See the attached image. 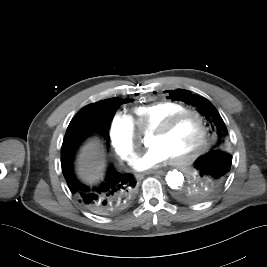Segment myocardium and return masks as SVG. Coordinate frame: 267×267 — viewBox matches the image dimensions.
<instances>
[{
    "label": "myocardium",
    "mask_w": 267,
    "mask_h": 267,
    "mask_svg": "<svg viewBox=\"0 0 267 267\" xmlns=\"http://www.w3.org/2000/svg\"><path fill=\"white\" fill-rule=\"evenodd\" d=\"M189 116L195 117L199 121L202 130L201 139L199 141V144L191 154L181 158L171 159L172 162L176 165L189 164L205 151L208 144V126L205 118L197 111L186 110L170 116L152 130L153 134L164 135L172 130L184 118Z\"/></svg>",
    "instance_id": "obj_1"
}]
</instances>
